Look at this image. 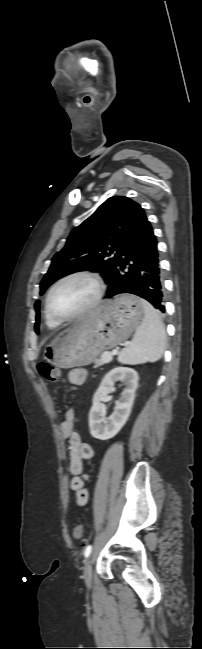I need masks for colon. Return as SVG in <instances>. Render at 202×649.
<instances>
[{"label":"colon","mask_w":202,"mask_h":649,"mask_svg":"<svg viewBox=\"0 0 202 649\" xmlns=\"http://www.w3.org/2000/svg\"><path fill=\"white\" fill-rule=\"evenodd\" d=\"M39 374L47 381L55 382L59 379V369L48 363H40L37 366ZM84 535V526L78 523L73 530V536L76 540H82Z\"/></svg>","instance_id":"obj_1"}]
</instances>
